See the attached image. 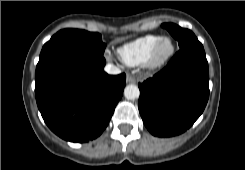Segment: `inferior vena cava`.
<instances>
[{
    "instance_id": "1",
    "label": "inferior vena cava",
    "mask_w": 245,
    "mask_h": 170,
    "mask_svg": "<svg viewBox=\"0 0 245 170\" xmlns=\"http://www.w3.org/2000/svg\"><path fill=\"white\" fill-rule=\"evenodd\" d=\"M105 71L108 73V74H112V75H117V74H120L121 73V70L113 65V64H107L105 66Z\"/></svg>"
}]
</instances>
